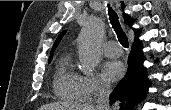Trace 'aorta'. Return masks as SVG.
<instances>
[{
	"label": "aorta",
	"mask_w": 171,
	"mask_h": 110,
	"mask_svg": "<svg viewBox=\"0 0 171 110\" xmlns=\"http://www.w3.org/2000/svg\"><path fill=\"white\" fill-rule=\"evenodd\" d=\"M104 25L98 18H91L83 27L79 42L78 54L80 70L84 74H91L100 61V42Z\"/></svg>",
	"instance_id": "obj_1"
}]
</instances>
